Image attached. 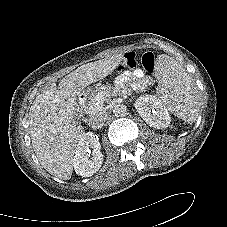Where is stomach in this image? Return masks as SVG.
<instances>
[{
  "instance_id": "0dacf381",
  "label": "stomach",
  "mask_w": 227,
  "mask_h": 227,
  "mask_svg": "<svg viewBox=\"0 0 227 227\" xmlns=\"http://www.w3.org/2000/svg\"><path fill=\"white\" fill-rule=\"evenodd\" d=\"M82 96L84 95V96H87V97H89V90H86V91H82Z\"/></svg>"
}]
</instances>
